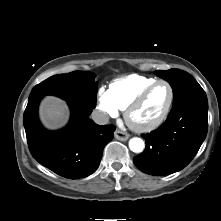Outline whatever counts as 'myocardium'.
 Returning a JSON list of instances; mask_svg holds the SVG:
<instances>
[{"mask_svg": "<svg viewBox=\"0 0 221 221\" xmlns=\"http://www.w3.org/2000/svg\"><path fill=\"white\" fill-rule=\"evenodd\" d=\"M160 84H165L169 88V93H170L168 103H167L163 113L161 114V116L158 119H156L153 122L146 123V124L137 123L133 118L135 111L143 104V102L146 100V98L151 93V91L156 86H158ZM174 99H175V93H174V89H173L172 85L166 80H162V79L157 80V81L153 82L152 84H150L149 86H147L129 104V106L125 110V120H126L127 124L130 126V128H132L134 131L141 132V133H147V132L154 131L157 128H159L168 118V116L171 112V109L173 107Z\"/></svg>", "mask_w": 221, "mask_h": 221, "instance_id": "f54148a6", "label": "myocardium"}]
</instances>
